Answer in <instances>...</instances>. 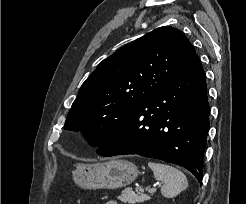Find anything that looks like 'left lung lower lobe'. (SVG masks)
<instances>
[{
	"instance_id": "0a47b994",
	"label": "left lung lower lobe",
	"mask_w": 246,
	"mask_h": 204,
	"mask_svg": "<svg viewBox=\"0 0 246 204\" xmlns=\"http://www.w3.org/2000/svg\"><path fill=\"white\" fill-rule=\"evenodd\" d=\"M208 130L206 75L195 54L117 125L97 154L160 159L186 168L200 182Z\"/></svg>"
}]
</instances>
